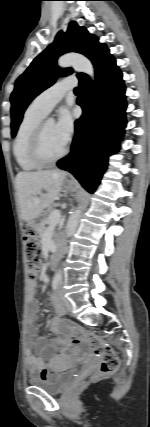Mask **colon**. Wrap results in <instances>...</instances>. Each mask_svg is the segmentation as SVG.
<instances>
[{
    "label": "colon",
    "mask_w": 150,
    "mask_h": 427,
    "mask_svg": "<svg viewBox=\"0 0 150 427\" xmlns=\"http://www.w3.org/2000/svg\"><path fill=\"white\" fill-rule=\"evenodd\" d=\"M23 240L26 250V271L29 278H36L40 264L42 250L34 230L27 226ZM64 329L71 333L74 342L86 344L100 360V369L97 376L115 374L119 368V358L115 350L103 338L86 334L80 327L63 323Z\"/></svg>",
    "instance_id": "1"
}]
</instances>
